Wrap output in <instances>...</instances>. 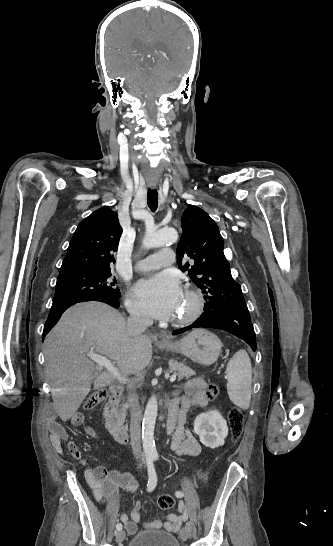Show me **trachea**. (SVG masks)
Here are the masks:
<instances>
[{
    "instance_id": "trachea-1",
    "label": "trachea",
    "mask_w": 333,
    "mask_h": 546,
    "mask_svg": "<svg viewBox=\"0 0 333 546\" xmlns=\"http://www.w3.org/2000/svg\"><path fill=\"white\" fill-rule=\"evenodd\" d=\"M147 203L151 211H156L158 207V192L156 189H148Z\"/></svg>"
}]
</instances>
